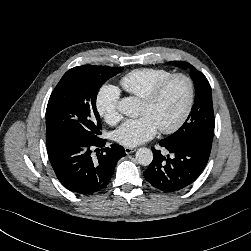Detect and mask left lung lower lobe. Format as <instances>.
<instances>
[{"label": "left lung lower lobe", "instance_id": "0a47b994", "mask_svg": "<svg viewBox=\"0 0 251 251\" xmlns=\"http://www.w3.org/2000/svg\"><path fill=\"white\" fill-rule=\"evenodd\" d=\"M160 146L172 155L163 156L153 149L154 158L144 172L145 179L155 188L173 193L191 185L207 165L211 146L198 139H185L174 143L161 140Z\"/></svg>", "mask_w": 251, "mask_h": 251}]
</instances>
